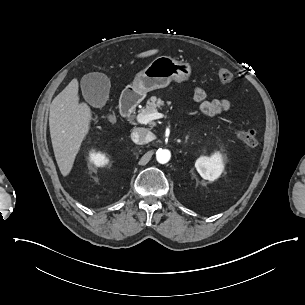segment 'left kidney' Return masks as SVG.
<instances>
[{
  "instance_id": "obj_1",
  "label": "left kidney",
  "mask_w": 305,
  "mask_h": 305,
  "mask_svg": "<svg viewBox=\"0 0 305 305\" xmlns=\"http://www.w3.org/2000/svg\"><path fill=\"white\" fill-rule=\"evenodd\" d=\"M195 167L203 179L214 181L220 177L225 167V158L219 152H215L212 156H200Z\"/></svg>"
}]
</instances>
